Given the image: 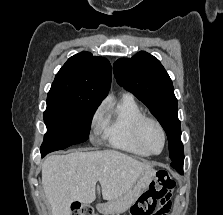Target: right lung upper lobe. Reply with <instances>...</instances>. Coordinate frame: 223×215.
<instances>
[{
    "label": "right lung upper lobe",
    "mask_w": 223,
    "mask_h": 215,
    "mask_svg": "<svg viewBox=\"0 0 223 215\" xmlns=\"http://www.w3.org/2000/svg\"><path fill=\"white\" fill-rule=\"evenodd\" d=\"M111 65L104 57L81 52L70 57L56 74L48 103L98 105L111 84Z\"/></svg>",
    "instance_id": "1"
}]
</instances>
